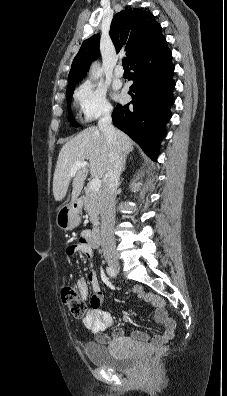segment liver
<instances>
[{
    "mask_svg": "<svg viewBox=\"0 0 227 396\" xmlns=\"http://www.w3.org/2000/svg\"><path fill=\"white\" fill-rule=\"evenodd\" d=\"M115 131L121 153H129L133 149V141L120 130ZM112 150L103 132L96 126L84 129L64 144L59 152L53 177L55 200L61 201L65 198L72 178L71 200L77 199L88 175V168H80L74 176H70L71 168L76 162L88 160L91 176L102 178L110 164L109 159Z\"/></svg>",
    "mask_w": 227,
    "mask_h": 396,
    "instance_id": "liver-1",
    "label": "liver"
}]
</instances>
